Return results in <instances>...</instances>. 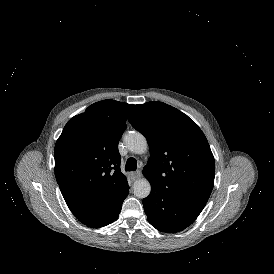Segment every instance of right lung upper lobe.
<instances>
[{"label":"right lung upper lobe","instance_id":"right-lung-upper-lobe-1","mask_svg":"<svg viewBox=\"0 0 274 274\" xmlns=\"http://www.w3.org/2000/svg\"><path fill=\"white\" fill-rule=\"evenodd\" d=\"M134 107L115 100L90 105L65 125L55 149V176L71 212L89 225L106 217L128 187L118 142Z\"/></svg>","mask_w":274,"mask_h":274}]
</instances>
